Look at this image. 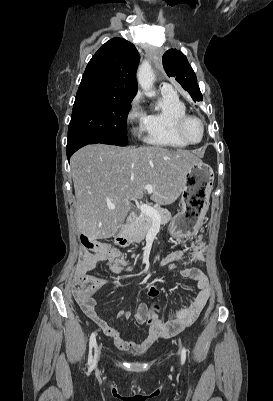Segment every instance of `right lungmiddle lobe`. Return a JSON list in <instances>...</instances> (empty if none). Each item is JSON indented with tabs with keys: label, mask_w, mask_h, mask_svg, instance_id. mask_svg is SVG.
Segmentation results:
<instances>
[{
	"label": "right lung middle lobe",
	"mask_w": 273,
	"mask_h": 401,
	"mask_svg": "<svg viewBox=\"0 0 273 401\" xmlns=\"http://www.w3.org/2000/svg\"><path fill=\"white\" fill-rule=\"evenodd\" d=\"M131 100L76 97L68 128V142L91 140L125 146L128 143L126 121Z\"/></svg>",
	"instance_id": "obj_1"
}]
</instances>
